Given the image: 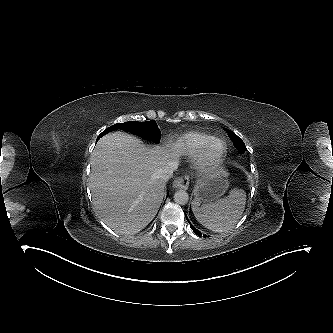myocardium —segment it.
Returning a JSON list of instances; mask_svg holds the SVG:
<instances>
[{"label": "myocardium", "mask_w": 333, "mask_h": 333, "mask_svg": "<svg viewBox=\"0 0 333 333\" xmlns=\"http://www.w3.org/2000/svg\"><path fill=\"white\" fill-rule=\"evenodd\" d=\"M215 143L221 144V150L216 154H212L211 148ZM225 152H226V143L219 138L216 137L211 138L198 155L199 165H201L204 168L214 167L221 162L222 158L225 155Z\"/></svg>", "instance_id": "myocardium-1"}]
</instances>
